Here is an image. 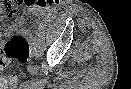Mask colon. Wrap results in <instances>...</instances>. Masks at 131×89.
I'll list each match as a JSON object with an SVG mask.
<instances>
[{"label": "colon", "instance_id": "obj_1", "mask_svg": "<svg viewBox=\"0 0 131 89\" xmlns=\"http://www.w3.org/2000/svg\"><path fill=\"white\" fill-rule=\"evenodd\" d=\"M6 7V3L0 2V14ZM9 10V9H8ZM6 11V10H5ZM30 56V44L21 35H14L8 38L0 46V70L10 64L20 67L27 62ZM18 81L16 74L0 75V89L15 87Z\"/></svg>", "mask_w": 131, "mask_h": 89}]
</instances>
